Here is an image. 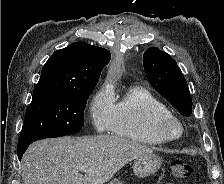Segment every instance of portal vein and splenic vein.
Returning a JSON list of instances; mask_svg holds the SVG:
<instances>
[{"label": "portal vein and splenic vein", "instance_id": "1", "mask_svg": "<svg viewBox=\"0 0 224 184\" xmlns=\"http://www.w3.org/2000/svg\"><path fill=\"white\" fill-rule=\"evenodd\" d=\"M80 171H86L85 167H80Z\"/></svg>", "mask_w": 224, "mask_h": 184}]
</instances>
